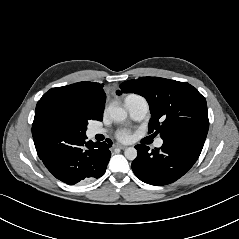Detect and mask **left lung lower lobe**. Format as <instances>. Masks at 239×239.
<instances>
[{
	"label": "left lung lower lobe",
	"mask_w": 239,
	"mask_h": 239,
	"mask_svg": "<svg viewBox=\"0 0 239 239\" xmlns=\"http://www.w3.org/2000/svg\"><path fill=\"white\" fill-rule=\"evenodd\" d=\"M137 158L132 170L143 182L161 186L182 177L197 161L201 150L176 140H164L161 148L149 151L146 145H136Z\"/></svg>",
	"instance_id": "obj_1"
}]
</instances>
